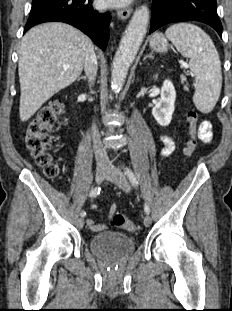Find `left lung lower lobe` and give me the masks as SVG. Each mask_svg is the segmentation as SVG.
Masks as SVG:
<instances>
[{"label":"left lung lower lobe","instance_id":"left-lung-lower-lobe-1","mask_svg":"<svg viewBox=\"0 0 232 311\" xmlns=\"http://www.w3.org/2000/svg\"><path fill=\"white\" fill-rule=\"evenodd\" d=\"M199 21L213 27L222 37L216 0H153L149 33L173 22Z\"/></svg>","mask_w":232,"mask_h":311}]
</instances>
